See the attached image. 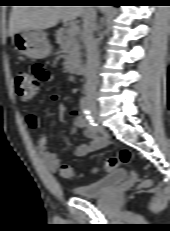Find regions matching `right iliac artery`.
<instances>
[{
	"mask_svg": "<svg viewBox=\"0 0 170 231\" xmlns=\"http://www.w3.org/2000/svg\"><path fill=\"white\" fill-rule=\"evenodd\" d=\"M80 106H81V113L85 117L88 127L91 131L97 132V124L94 122L93 117L91 116L90 110H89V103L86 97H82L80 100Z\"/></svg>",
	"mask_w": 170,
	"mask_h": 231,
	"instance_id": "82829eb1",
	"label": "right iliac artery"
}]
</instances>
